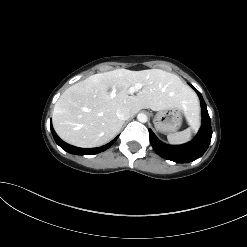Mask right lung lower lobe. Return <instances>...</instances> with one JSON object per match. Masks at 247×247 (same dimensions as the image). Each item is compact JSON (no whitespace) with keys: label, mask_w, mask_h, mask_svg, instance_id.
<instances>
[{"label":"right lung lower lobe","mask_w":247,"mask_h":247,"mask_svg":"<svg viewBox=\"0 0 247 247\" xmlns=\"http://www.w3.org/2000/svg\"><path fill=\"white\" fill-rule=\"evenodd\" d=\"M50 128H51V132L52 135L54 137V140L56 141V143L65 151L71 153V154H75V155H93V154H97L100 153L106 149H108L118 138V136L113 139L110 143L101 146V147H97V148H79V147H75L72 145H69L67 143H65L64 141H62L57 134L55 133L52 124L50 122Z\"/></svg>","instance_id":"1"}]
</instances>
